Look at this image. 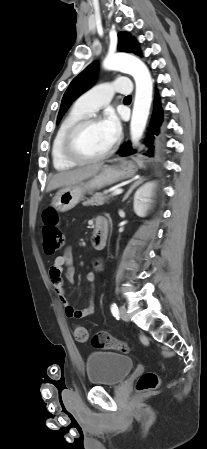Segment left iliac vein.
Wrapping results in <instances>:
<instances>
[{"label": "left iliac vein", "instance_id": "obj_1", "mask_svg": "<svg viewBox=\"0 0 207 449\" xmlns=\"http://www.w3.org/2000/svg\"><path fill=\"white\" fill-rule=\"evenodd\" d=\"M120 318L124 321H129V316L127 314V309L124 306L120 307Z\"/></svg>", "mask_w": 207, "mask_h": 449}]
</instances>
